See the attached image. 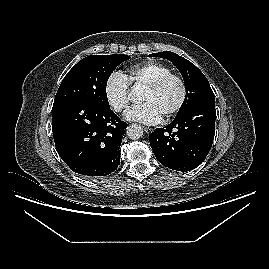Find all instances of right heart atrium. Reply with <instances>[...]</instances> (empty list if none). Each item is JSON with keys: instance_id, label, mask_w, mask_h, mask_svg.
I'll use <instances>...</instances> for the list:
<instances>
[{"instance_id": "right-heart-atrium-1", "label": "right heart atrium", "mask_w": 269, "mask_h": 269, "mask_svg": "<svg viewBox=\"0 0 269 269\" xmlns=\"http://www.w3.org/2000/svg\"><path fill=\"white\" fill-rule=\"evenodd\" d=\"M104 95L108 106L116 113L123 112L129 104V82L118 71L111 72L104 84Z\"/></svg>"}]
</instances>
